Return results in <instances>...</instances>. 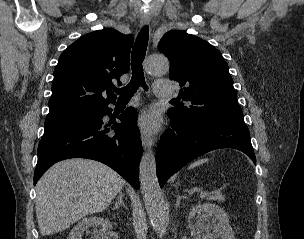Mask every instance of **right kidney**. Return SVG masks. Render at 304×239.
I'll return each mask as SVG.
<instances>
[{
    "label": "right kidney",
    "instance_id": "1",
    "mask_svg": "<svg viewBox=\"0 0 304 239\" xmlns=\"http://www.w3.org/2000/svg\"><path fill=\"white\" fill-rule=\"evenodd\" d=\"M89 227H93L92 237L94 239H105L106 229H111L112 224L108 219L103 217H87L78 222V224L69 233V237L67 239H82L83 233Z\"/></svg>",
    "mask_w": 304,
    "mask_h": 239
}]
</instances>
